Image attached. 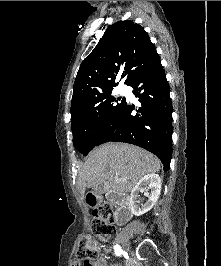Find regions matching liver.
Masks as SVG:
<instances>
[{
	"instance_id": "1",
	"label": "liver",
	"mask_w": 221,
	"mask_h": 266,
	"mask_svg": "<svg viewBox=\"0 0 221 266\" xmlns=\"http://www.w3.org/2000/svg\"><path fill=\"white\" fill-rule=\"evenodd\" d=\"M161 169L160 160L152 153L126 143H107L91 151L81 166L78 188L82 195L86 188L102 184L104 191L124 194L130 192L146 174ZM117 175L123 181H117Z\"/></svg>"
}]
</instances>
